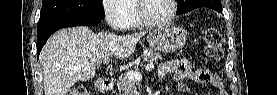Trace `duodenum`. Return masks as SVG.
Segmentation results:
<instances>
[{
  "mask_svg": "<svg viewBox=\"0 0 277 95\" xmlns=\"http://www.w3.org/2000/svg\"><path fill=\"white\" fill-rule=\"evenodd\" d=\"M96 85L100 91L105 93L113 88L114 82L112 80L100 78L96 81Z\"/></svg>",
  "mask_w": 277,
  "mask_h": 95,
  "instance_id": "1",
  "label": "duodenum"
}]
</instances>
